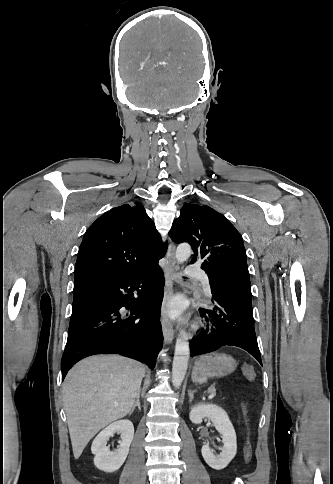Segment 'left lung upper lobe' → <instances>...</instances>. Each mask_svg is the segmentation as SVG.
I'll list each match as a JSON object with an SVG mask.
<instances>
[{
  "label": "left lung upper lobe",
  "mask_w": 333,
  "mask_h": 484,
  "mask_svg": "<svg viewBox=\"0 0 333 484\" xmlns=\"http://www.w3.org/2000/svg\"><path fill=\"white\" fill-rule=\"evenodd\" d=\"M169 236L176 243L191 244L195 257L204 260L201 268L225 252H240L246 259L243 239L225 216L209 206L185 204L175 219Z\"/></svg>",
  "instance_id": "1"
}]
</instances>
